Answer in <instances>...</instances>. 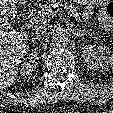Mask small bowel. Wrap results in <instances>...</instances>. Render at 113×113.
<instances>
[{"instance_id": "obj_1", "label": "small bowel", "mask_w": 113, "mask_h": 113, "mask_svg": "<svg viewBox=\"0 0 113 113\" xmlns=\"http://www.w3.org/2000/svg\"><path fill=\"white\" fill-rule=\"evenodd\" d=\"M74 2L79 4H87L83 11V18L89 20L93 15L94 6L99 2V0H74Z\"/></svg>"}]
</instances>
